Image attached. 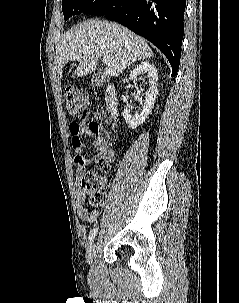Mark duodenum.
<instances>
[{
	"instance_id": "1",
	"label": "duodenum",
	"mask_w": 239,
	"mask_h": 303,
	"mask_svg": "<svg viewBox=\"0 0 239 303\" xmlns=\"http://www.w3.org/2000/svg\"><path fill=\"white\" fill-rule=\"evenodd\" d=\"M105 104L109 114L116 118L118 115L117 111V98H116V89L114 86H109L105 94Z\"/></svg>"
}]
</instances>
